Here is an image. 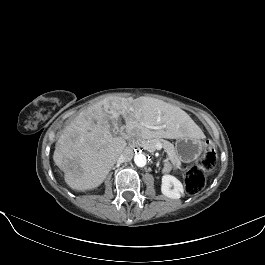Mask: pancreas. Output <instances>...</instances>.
I'll list each match as a JSON object with an SVG mask.
<instances>
[{
	"label": "pancreas",
	"instance_id": "cf45deb5",
	"mask_svg": "<svg viewBox=\"0 0 265 265\" xmlns=\"http://www.w3.org/2000/svg\"><path fill=\"white\" fill-rule=\"evenodd\" d=\"M157 144H161V146L167 153L168 159L172 162L173 165H175L176 167L180 166V160L176 155L175 147L172 143L160 138L139 141V145L149 152H154L156 150Z\"/></svg>",
	"mask_w": 265,
	"mask_h": 265
}]
</instances>
